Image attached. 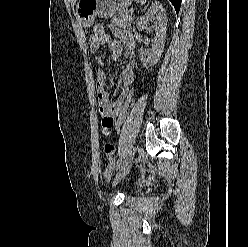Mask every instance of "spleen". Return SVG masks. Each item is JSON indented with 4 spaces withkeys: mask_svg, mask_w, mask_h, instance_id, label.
<instances>
[{
    "mask_svg": "<svg viewBox=\"0 0 248 247\" xmlns=\"http://www.w3.org/2000/svg\"><path fill=\"white\" fill-rule=\"evenodd\" d=\"M141 4H144L147 0H139Z\"/></svg>",
    "mask_w": 248,
    "mask_h": 247,
    "instance_id": "obj_1",
    "label": "spleen"
}]
</instances>
